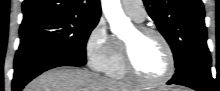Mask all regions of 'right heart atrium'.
<instances>
[{"label": "right heart atrium", "instance_id": "obj_1", "mask_svg": "<svg viewBox=\"0 0 220 91\" xmlns=\"http://www.w3.org/2000/svg\"><path fill=\"white\" fill-rule=\"evenodd\" d=\"M84 50L88 65L93 70H107L116 53V39L108 33L103 19H100L88 33Z\"/></svg>", "mask_w": 220, "mask_h": 91}]
</instances>
